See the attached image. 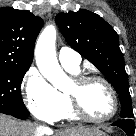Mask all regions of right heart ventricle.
<instances>
[{"label":"right heart ventricle","mask_w":136,"mask_h":136,"mask_svg":"<svg viewBox=\"0 0 136 136\" xmlns=\"http://www.w3.org/2000/svg\"><path fill=\"white\" fill-rule=\"evenodd\" d=\"M65 69L73 75H77L79 73V70H71V69H67V68H65ZM58 93L61 98V108H60V111L57 114V116L52 121H57V120H61V119H68V120L76 119V117L73 115V113L70 109V105H69L66 94L60 93V92H58Z\"/></svg>","instance_id":"obj_1"}]
</instances>
